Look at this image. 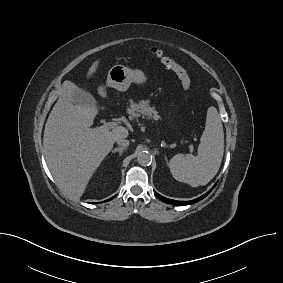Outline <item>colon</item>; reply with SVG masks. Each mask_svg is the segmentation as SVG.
Returning <instances> with one entry per match:
<instances>
[{
    "label": "colon",
    "mask_w": 283,
    "mask_h": 283,
    "mask_svg": "<svg viewBox=\"0 0 283 283\" xmlns=\"http://www.w3.org/2000/svg\"><path fill=\"white\" fill-rule=\"evenodd\" d=\"M150 52L158 58L162 64H164L168 69L173 71L177 78L179 79L181 86L184 90H189L191 88V78L187 70L177 63L173 58L165 54L161 49L152 47Z\"/></svg>",
    "instance_id": "5ec220e1"
}]
</instances>
